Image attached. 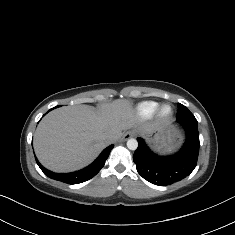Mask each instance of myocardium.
Returning a JSON list of instances; mask_svg holds the SVG:
<instances>
[{
	"label": "myocardium",
	"mask_w": 235,
	"mask_h": 235,
	"mask_svg": "<svg viewBox=\"0 0 235 235\" xmlns=\"http://www.w3.org/2000/svg\"><path fill=\"white\" fill-rule=\"evenodd\" d=\"M166 106H170L171 107V113L170 115H164L163 114V109L166 107ZM174 115H175V109H174V106L169 103V102H165V103H162L160 104L156 111H155V119L161 123H166V122H170L173 118H174Z\"/></svg>",
	"instance_id": "1"
}]
</instances>
